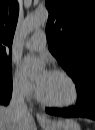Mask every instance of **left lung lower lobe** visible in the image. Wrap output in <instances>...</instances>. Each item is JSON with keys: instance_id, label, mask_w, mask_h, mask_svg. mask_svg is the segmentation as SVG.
I'll list each match as a JSON object with an SVG mask.
<instances>
[{"instance_id": "left-lung-lower-lobe-1", "label": "left lung lower lobe", "mask_w": 95, "mask_h": 130, "mask_svg": "<svg viewBox=\"0 0 95 130\" xmlns=\"http://www.w3.org/2000/svg\"><path fill=\"white\" fill-rule=\"evenodd\" d=\"M51 115L63 117H85L95 119V80L90 81L78 91V100L74 107L65 109L47 108Z\"/></svg>"}]
</instances>
